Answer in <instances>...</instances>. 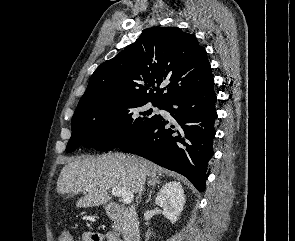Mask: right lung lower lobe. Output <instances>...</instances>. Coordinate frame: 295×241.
Wrapping results in <instances>:
<instances>
[{"instance_id":"1","label":"right lung lower lobe","mask_w":295,"mask_h":241,"mask_svg":"<svg viewBox=\"0 0 295 241\" xmlns=\"http://www.w3.org/2000/svg\"><path fill=\"white\" fill-rule=\"evenodd\" d=\"M215 103L214 81L179 94L161 106L172 120L159 115L118 148L186 176L203 192L209 175L207 165L213 156Z\"/></svg>"}]
</instances>
